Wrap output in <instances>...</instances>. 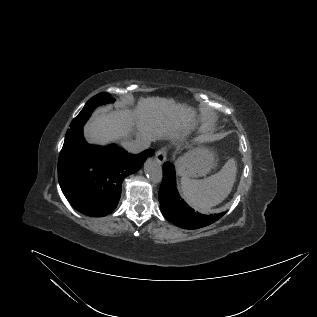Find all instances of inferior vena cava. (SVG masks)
Instances as JSON below:
<instances>
[{
  "mask_svg": "<svg viewBox=\"0 0 317 317\" xmlns=\"http://www.w3.org/2000/svg\"><path fill=\"white\" fill-rule=\"evenodd\" d=\"M149 141L145 137H138L135 140H126L122 142V147L132 154H137L147 149Z\"/></svg>",
  "mask_w": 317,
  "mask_h": 317,
  "instance_id": "inferior-vena-cava-1",
  "label": "inferior vena cava"
}]
</instances>
